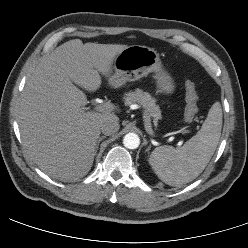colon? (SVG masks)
<instances>
[{"label":"colon","mask_w":248,"mask_h":248,"mask_svg":"<svg viewBox=\"0 0 248 248\" xmlns=\"http://www.w3.org/2000/svg\"><path fill=\"white\" fill-rule=\"evenodd\" d=\"M185 91H186V109L184 113V119L187 122H191L197 113V101L198 94L196 87L193 82L186 81L185 82Z\"/></svg>","instance_id":"1"}]
</instances>
